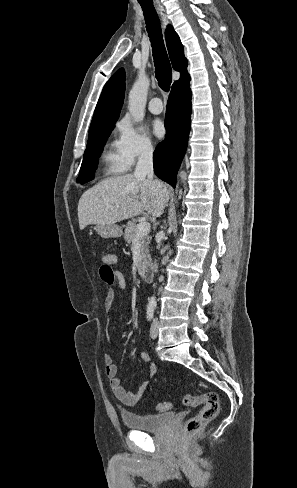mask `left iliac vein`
Here are the masks:
<instances>
[{
  "label": "left iliac vein",
  "mask_w": 297,
  "mask_h": 488,
  "mask_svg": "<svg viewBox=\"0 0 297 488\" xmlns=\"http://www.w3.org/2000/svg\"><path fill=\"white\" fill-rule=\"evenodd\" d=\"M158 336V321L155 319L151 325L150 337L155 339Z\"/></svg>",
  "instance_id": "left-iliac-vein-1"
}]
</instances>
